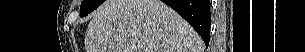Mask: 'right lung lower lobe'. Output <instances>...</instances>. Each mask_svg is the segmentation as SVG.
Masks as SVG:
<instances>
[{"instance_id": "98d812e1", "label": "right lung lower lobe", "mask_w": 305, "mask_h": 52, "mask_svg": "<svg viewBox=\"0 0 305 52\" xmlns=\"http://www.w3.org/2000/svg\"><path fill=\"white\" fill-rule=\"evenodd\" d=\"M177 11L202 37L205 45L210 36V0H162Z\"/></svg>"}]
</instances>
